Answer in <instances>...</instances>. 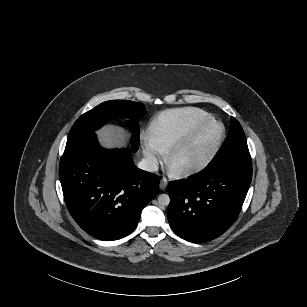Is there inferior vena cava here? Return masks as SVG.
I'll return each mask as SVG.
<instances>
[{
    "label": "inferior vena cava",
    "instance_id": "obj_1",
    "mask_svg": "<svg viewBox=\"0 0 307 307\" xmlns=\"http://www.w3.org/2000/svg\"><path fill=\"white\" fill-rule=\"evenodd\" d=\"M137 167L144 171L154 172L158 170V162L155 157L151 156L139 161Z\"/></svg>",
    "mask_w": 307,
    "mask_h": 307
}]
</instances>
